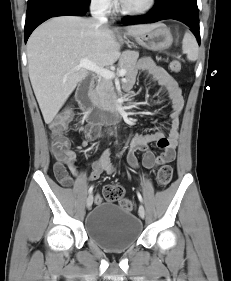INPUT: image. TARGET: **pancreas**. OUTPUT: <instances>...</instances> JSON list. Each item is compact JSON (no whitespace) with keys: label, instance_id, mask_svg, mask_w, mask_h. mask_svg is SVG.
Segmentation results:
<instances>
[{"label":"pancreas","instance_id":"cf45deb5","mask_svg":"<svg viewBox=\"0 0 231 281\" xmlns=\"http://www.w3.org/2000/svg\"><path fill=\"white\" fill-rule=\"evenodd\" d=\"M139 52L127 50L120 57L119 69L126 70V77H130L135 72L136 63ZM115 89L113 83L109 79H100L95 90L92 92V100L105 110H113L115 108Z\"/></svg>","mask_w":231,"mask_h":281}]
</instances>
